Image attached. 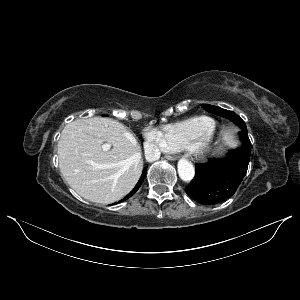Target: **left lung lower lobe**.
I'll list each match as a JSON object with an SVG mask.
<instances>
[{"instance_id":"1","label":"left lung lower lobe","mask_w":300,"mask_h":300,"mask_svg":"<svg viewBox=\"0 0 300 300\" xmlns=\"http://www.w3.org/2000/svg\"><path fill=\"white\" fill-rule=\"evenodd\" d=\"M239 136L242 147L230 150L226 158H213L207 163L196 164L195 177L185 188L196 202L215 205L236 192L246 175L251 151L248 132H240Z\"/></svg>"}]
</instances>
